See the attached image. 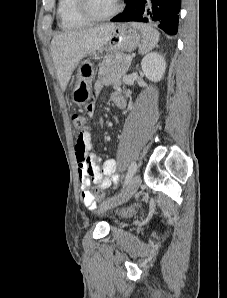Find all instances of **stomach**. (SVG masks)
Segmentation results:
<instances>
[{
	"label": "stomach",
	"mask_w": 227,
	"mask_h": 298,
	"mask_svg": "<svg viewBox=\"0 0 227 298\" xmlns=\"http://www.w3.org/2000/svg\"><path fill=\"white\" fill-rule=\"evenodd\" d=\"M142 34L131 24H118L115 26L111 38L101 51H111L115 53L134 51L140 44ZM95 77L94 64L89 60H84L78 65L76 74V84L72 90V100L78 106L87 104L92 96V81Z\"/></svg>",
	"instance_id": "stomach-1"
}]
</instances>
